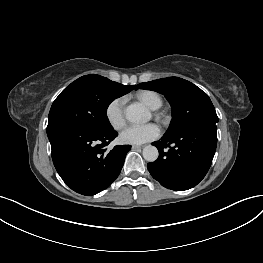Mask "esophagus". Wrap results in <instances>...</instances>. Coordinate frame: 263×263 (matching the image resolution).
Segmentation results:
<instances>
[{
  "label": "esophagus",
  "instance_id": "1",
  "mask_svg": "<svg viewBox=\"0 0 263 263\" xmlns=\"http://www.w3.org/2000/svg\"><path fill=\"white\" fill-rule=\"evenodd\" d=\"M143 148V146H140V145H133L132 146V149H134V150H139V149H142Z\"/></svg>",
  "mask_w": 263,
  "mask_h": 263
}]
</instances>
